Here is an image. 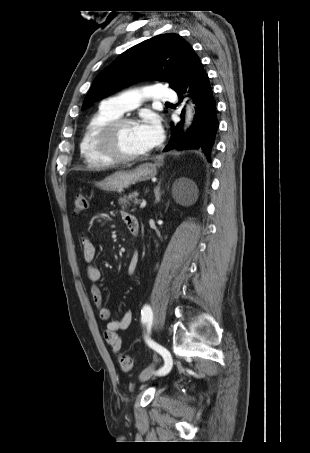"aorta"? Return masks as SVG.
<instances>
[{
    "mask_svg": "<svg viewBox=\"0 0 310 453\" xmlns=\"http://www.w3.org/2000/svg\"><path fill=\"white\" fill-rule=\"evenodd\" d=\"M193 116H194V108L192 105H187L186 107V116H185V124L186 126H189L191 124V121L193 119Z\"/></svg>",
    "mask_w": 310,
    "mask_h": 453,
    "instance_id": "obj_1",
    "label": "aorta"
}]
</instances>
